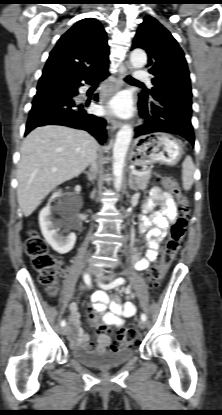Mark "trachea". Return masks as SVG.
Returning <instances> with one entry per match:
<instances>
[{"mask_svg":"<svg viewBox=\"0 0 222 415\" xmlns=\"http://www.w3.org/2000/svg\"><path fill=\"white\" fill-rule=\"evenodd\" d=\"M125 81H127V82H132V83H139V84H142L141 82H138L137 80H135L134 78H132L131 76H127L126 78H125Z\"/></svg>","mask_w":222,"mask_h":415,"instance_id":"3493384b","label":"trachea"}]
</instances>
